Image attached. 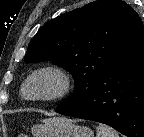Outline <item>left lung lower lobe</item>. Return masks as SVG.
Segmentation results:
<instances>
[{
	"label": "left lung lower lobe",
	"mask_w": 144,
	"mask_h": 137,
	"mask_svg": "<svg viewBox=\"0 0 144 137\" xmlns=\"http://www.w3.org/2000/svg\"><path fill=\"white\" fill-rule=\"evenodd\" d=\"M56 112L144 137V30L130 52L107 70L87 96Z\"/></svg>",
	"instance_id": "1"
}]
</instances>
